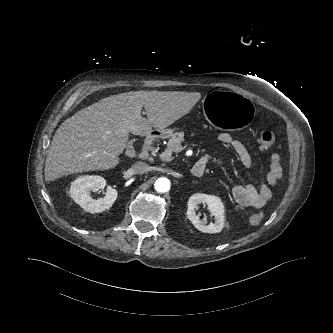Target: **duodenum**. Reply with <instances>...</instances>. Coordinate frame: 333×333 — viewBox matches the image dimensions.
<instances>
[{
  "label": "duodenum",
  "mask_w": 333,
  "mask_h": 333,
  "mask_svg": "<svg viewBox=\"0 0 333 333\" xmlns=\"http://www.w3.org/2000/svg\"><path fill=\"white\" fill-rule=\"evenodd\" d=\"M161 137H162V133L160 131H153L148 134V136L146 137V141H145L143 150H142L140 158H139L141 161L148 160L150 148L153 146L154 142L157 141L158 139H160ZM204 170H205V166L199 162H197L192 168L193 175L196 177L202 176L204 173Z\"/></svg>",
  "instance_id": "1"
}]
</instances>
